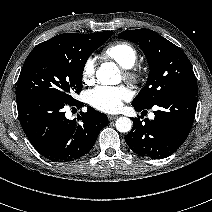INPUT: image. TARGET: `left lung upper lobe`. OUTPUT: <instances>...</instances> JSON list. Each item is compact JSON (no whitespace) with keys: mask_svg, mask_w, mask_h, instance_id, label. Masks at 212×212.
<instances>
[{"mask_svg":"<svg viewBox=\"0 0 212 212\" xmlns=\"http://www.w3.org/2000/svg\"><path fill=\"white\" fill-rule=\"evenodd\" d=\"M118 37L139 45L149 64L147 83L132 105L148 108L174 93L197 89V80L186 54L158 33L149 29L126 30Z\"/></svg>","mask_w":212,"mask_h":212,"instance_id":"left-lung-upper-lobe-1","label":"left lung upper lobe"}]
</instances>
